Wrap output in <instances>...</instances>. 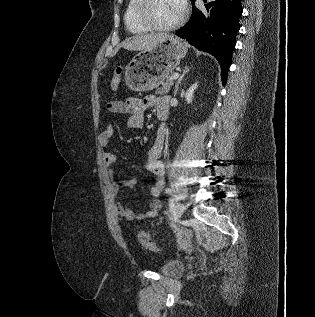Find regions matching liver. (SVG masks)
Listing matches in <instances>:
<instances>
[{
	"label": "liver",
	"instance_id": "obj_1",
	"mask_svg": "<svg viewBox=\"0 0 315 317\" xmlns=\"http://www.w3.org/2000/svg\"><path fill=\"white\" fill-rule=\"evenodd\" d=\"M167 35L168 34H165V33H158V34L133 36L129 38L123 44V48L127 50H133V51L150 50Z\"/></svg>",
	"mask_w": 315,
	"mask_h": 317
}]
</instances>
